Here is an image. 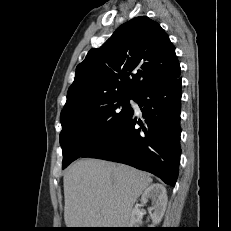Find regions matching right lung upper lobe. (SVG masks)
<instances>
[{
    "mask_svg": "<svg viewBox=\"0 0 231 231\" xmlns=\"http://www.w3.org/2000/svg\"><path fill=\"white\" fill-rule=\"evenodd\" d=\"M180 76L175 48L161 26L147 16L121 25L76 68L61 116Z\"/></svg>",
    "mask_w": 231,
    "mask_h": 231,
    "instance_id": "1",
    "label": "right lung upper lobe"
}]
</instances>
